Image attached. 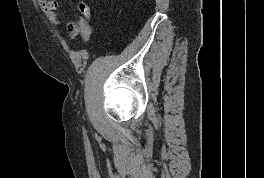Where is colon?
Returning <instances> with one entry per match:
<instances>
[{
  "instance_id": "colon-1",
  "label": "colon",
  "mask_w": 264,
  "mask_h": 178,
  "mask_svg": "<svg viewBox=\"0 0 264 178\" xmlns=\"http://www.w3.org/2000/svg\"><path fill=\"white\" fill-rule=\"evenodd\" d=\"M78 10L82 19V26L80 27L78 32H74L70 34L72 39L76 38L78 35L84 40H88L91 34V8L89 4L85 0H79L78 2Z\"/></svg>"
}]
</instances>
